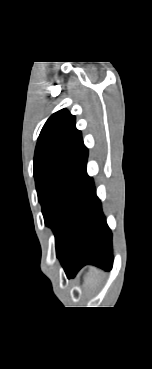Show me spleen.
<instances>
[{
    "instance_id": "3e777b00",
    "label": "spleen",
    "mask_w": 152,
    "mask_h": 369,
    "mask_svg": "<svg viewBox=\"0 0 152 369\" xmlns=\"http://www.w3.org/2000/svg\"><path fill=\"white\" fill-rule=\"evenodd\" d=\"M98 273V271L97 270H92L90 273H89V278L91 279V280H94V278H95V276H96V274ZM88 278H86V280H87Z\"/></svg>"
}]
</instances>
